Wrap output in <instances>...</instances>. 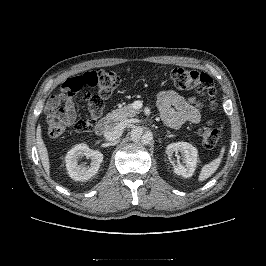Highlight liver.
Here are the masks:
<instances>
[{
  "instance_id": "obj_1",
  "label": "liver",
  "mask_w": 266,
  "mask_h": 266,
  "mask_svg": "<svg viewBox=\"0 0 266 266\" xmlns=\"http://www.w3.org/2000/svg\"><path fill=\"white\" fill-rule=\"evenodd\" d=\"M36 144L39 153L40 160L42 162L43 168L45 172L49 175L50 174V162H49V155L46 148V145L42 138V130L41 125L39 124L36 131Z\"/></svg>"
}]
</instances>
